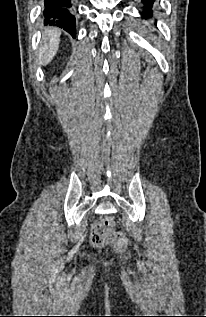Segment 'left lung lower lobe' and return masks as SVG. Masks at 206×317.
<instances>
[{
  "instance_id": "left-lung-lower-lobe-1",
  "label": "left lung lower lobe",
  "mask_w": 206,
  "mask_h": 317,
  "mask_svg": "<svg viewBox=\"0 0 206 317\" xmlns=\"http://www.w3.org/2000/svg\"><path fill=\"white\" fill-rule=\"evenodd\" d=\"M155 0H142L145 4V10L143 11L144 17H151L152 16V6Z\"/></svg>"
}]
</instances>
